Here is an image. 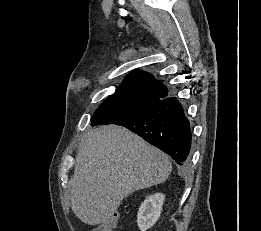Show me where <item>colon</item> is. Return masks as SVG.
<instances>
[{
    "mask_svg": "<svg viewBox=\"0 0 261 231\" xmlns=\"http://www.w3.org/2000/svg\"><path fill=\"white\" fill-rule=\"evenodd\" d=\"M118 219V212L112 211L107 219L94 226L90 231H112Z\"/></svg>",
    "mask_w": 261,
    "mask_h": 231,
    "instance_id": "5ec220e1",
    "label": "colon"
}]
</instances>
